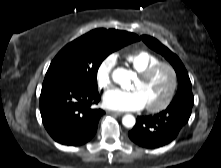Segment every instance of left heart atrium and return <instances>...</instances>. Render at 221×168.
Returning <instances> with one entry per match:
<instances>
[{
  "label": "left heart atrium",
  "mask_w": 221,
  "mask_h": 168,
  "mask_svg": "<svg viewBox=\"0 0 221 168\" xmlns=\"http://www.w3.org/2000/svg\"><path fill=\"white\" fill-rule=\"evenodd\" d=\"M105 107L116 111H136L145 107V100L140 91L115 89L103 97Z\"/></svg>",
  "instance_id": "obj_1"
}]
</instances>
